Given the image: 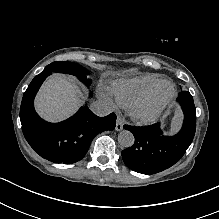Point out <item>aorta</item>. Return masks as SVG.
I'll list each match as a JSON object with an SVG mask.
<instances>
[{"label": "aorta", "instance_id": "762f6f07", "mask_svg": "<svg viewBox=\"0 0 219 219\" xmlns=\"http://www.w3.org/2000/svg\"><path fill=\"white\" fill-rule=\"evenodd\" d=\"M135 138L129 130H123L118 135V142L122 147L129 148L134 144Z\"/></svg>", "mask_w": 219, "mask_h": 219}]
</instances>
